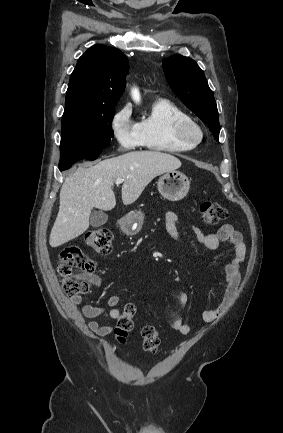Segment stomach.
<instances>
[{
  "label": "stomach",
  "mask_w": 283,
  "mask_h": 433,
  "mask_svg": "<svg viewBox=\"0 0 283 433\" xmlns=\"http://www.w3.org/2000/svg\"><path fill=\"white\" fill-rule=\"evenodd\" d=\"M158 190L167 200H181L186 196L190 182L188 176L179 170H169L158 180ZM144 214L141 210H132L120 219V229L126 235H137L142 229Z\"/></svg>",
  "instance_id": "0dacf381"
}]
</instances>
